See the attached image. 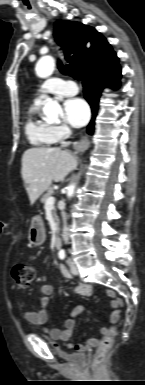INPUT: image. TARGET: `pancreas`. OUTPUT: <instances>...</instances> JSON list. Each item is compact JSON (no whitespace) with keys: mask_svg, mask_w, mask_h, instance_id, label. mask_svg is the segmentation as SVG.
Returning <instances> with one entry per match:
<instances>
[{"mask_svg":"<svg viewBox=\"0 0 145 385\" xmlns=\"http://www.w3.org/2000/svg\"><path fill=\"white\" fill-rule=\"evenodd\" d=\"M53 192H54L53 189L49 188L47 192L42 196L41 201L45 204L47 199L53 194ZM53 215L55 219H57L55 207L53 208Z\"/></svg>","mask_w":145,"mask_h":385,"instance_id":"cf45deb5","label":"pancreas"}]
</instances>
